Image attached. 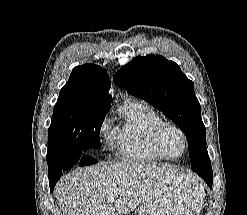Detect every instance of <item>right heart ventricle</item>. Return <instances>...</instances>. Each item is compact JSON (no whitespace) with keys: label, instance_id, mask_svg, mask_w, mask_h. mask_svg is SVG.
Instances as JSON below:
<instances>
[{"label":"right heart ventricle","instance_id":"obj_1","mask_svg":"<svg viewBox=\"0 0 247 215\" xmlns=\"http://www.w3.org/2000/svg\"><path fill=\"white\" fill-rule=\"evenodd\" d=\"M162 121L145 102H127L122 109V121L112 131L109 142L125 161L152 163L164 160L155 150L152 137L153 130Z\"/></svg>","mask_w":247,"mask_h":215}]
</instances>
